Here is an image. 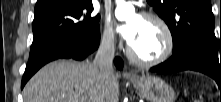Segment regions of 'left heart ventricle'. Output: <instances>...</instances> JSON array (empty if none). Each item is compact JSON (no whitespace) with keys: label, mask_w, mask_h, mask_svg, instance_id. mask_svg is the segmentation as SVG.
Listing matches in <instances>:
<instances>
[{"label":"left heart ventricle","mask_w":221,"mask_h":102,"mask_svg":"<svg viewBox=\"0 0 221 102\" xmlns=\"http://www.w3.org/2000/svg\"><path fill=\"white\" fill-rule=\"evenodd\" d=\"M130 45L139 57L153 59L163 52L165 36L158 24L140 17L137 35Z\"/></svg>","instance_id":"left-heart-ventricle-1"}]
</instances>
